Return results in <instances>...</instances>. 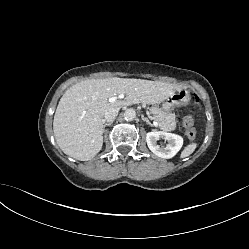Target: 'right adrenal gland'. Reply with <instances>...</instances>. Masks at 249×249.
Returning <instances> with one entry per match:
<instances>
[{
  "label": "right adrenal gland",
  "instance_id": "1",
  "mask_svg": "<svg viewBox=\"0 0 249 249\" xmlns=\"http://www.w3.org/2000/svg\"><path fill=\"white\" fill-rule=\"evenodd\" d=\"M112 124V122H107V123H105L104 125H103V132L105 131V127L106 126H110Z\"/></svg>",
  "mask_w": 249,
  "mask_h": 249
}]
</instances>
